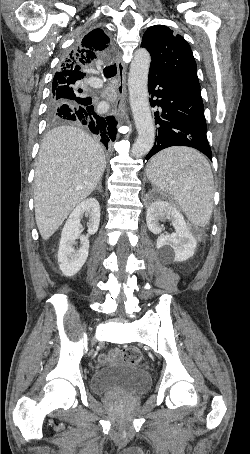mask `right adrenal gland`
I'll return each instance as SVG.
<instances>
[{
  "label": "right adrenal gland",
  "mask_w": 250,
  "mask_h": 454,
  "mask_svg": "<svg viewBox=\"0 0 250 454\" xmlns=\"http://www.w3.org/2000/svg\"><path fill=\"white\" fill-rule=\"evenodd\" d=\"M96 190H98L99 192H102V190H101V181L98 183V185L96 187Z\"/></svg>",
  "instance_id": "obj_1"
}]
</instances>
